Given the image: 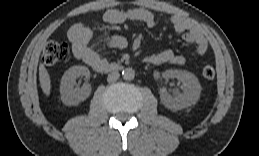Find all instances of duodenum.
<instances>
[{
  "instance_id": "obj_1",
  "label": "duodenum",
  "mask_w": 259,
  "mask_h": 156,
  "mask_svg": "<svg viewBox=\"0 0 259 156\" xmlns=\"http://www.w3.org/2000/svg\"><path fill=\"white\" fill-rule=\"evenodd\" d=\"M121 69V66L118 64H103L98 66L96 70L100 72H114Z\"/></svg>"
}]
</instances>
